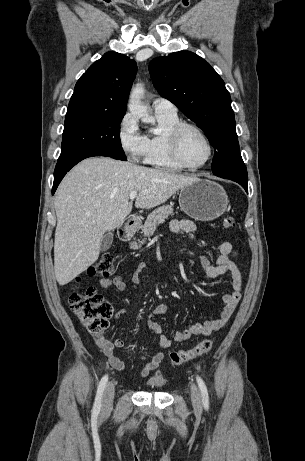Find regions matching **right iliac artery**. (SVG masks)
Masks as SVG:
<instances>
[{"label": "right iliac artery", "instance_id": "1", "mask_svg": "<svg viewBox=\"0 0 305 461\" xmlns=\"http://www.w3.org/2000/svg\"><path fill=\"white\" fill-rule=\"evenodd\" d=\"M107 381H108V375H105L99 382L97 393H96V398H95V402L93 406V414L95 415H97L100 412L102 395H103L105 386L107 384Z\"/></svg>", "mask_w": 305, "mask_h": 461}]
</instances>
